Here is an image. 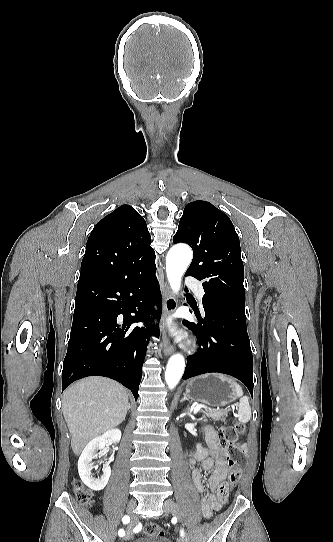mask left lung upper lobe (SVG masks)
Wrapping results in <instances>:
<instances>
[{"label": "left lung upper lobe", "instance_id": "left-lung-upper-lobe-1", "mask_svg": "<svg viewBox=\"0 0 333 542\" xmlns=\"http://www.w3.org/2000/svg\"><path fill=\"white\" fill-rule=\"evenodd\" d=\"M179 242L193 249V260L185 275L203 281L205 313L216 300L245 305L239 237L225 213L207 201L187 204L173 237V243Z\"/></svg>", "mask_w": 333, "mask_h": 542}]
</instances>
